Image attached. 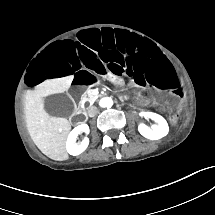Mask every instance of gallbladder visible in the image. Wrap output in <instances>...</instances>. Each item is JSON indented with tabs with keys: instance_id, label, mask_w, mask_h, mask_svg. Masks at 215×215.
Here are the masks:
<instances>
[{
	"instance_id": "gallbladder-1",
	"label": "gallbladder",
	"mask_w": 215,
	"mask_h": 215,
	"mask_svg": "<svg viewBox=\"0 0 215 215\" xmlns=\"http://www.w3.org/2000/svg\"><path fill=\"white\" fill-rule=\"evenodd\" d=\"M46 110L50 115L69 117L75 110L74 102L67 99L65 94H54L44 99Z\"/></svg>"
}]
</instances>
